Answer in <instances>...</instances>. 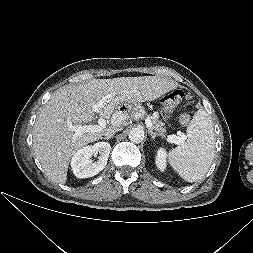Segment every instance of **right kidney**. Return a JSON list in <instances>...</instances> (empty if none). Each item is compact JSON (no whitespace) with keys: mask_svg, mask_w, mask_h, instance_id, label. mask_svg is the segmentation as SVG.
<instances>
[{"mask_svg":"<svg viewBox=\"0 0 253 253\" xmlns=\"http://www.w3.org/2000/svg\"><path fill=\"white\" fill-rule=\"evenodd\" d=\"M111 146L108 142H97L79 149L71 159V168L78 178H88L102 171L109 157ZM99 154L98 160L94 163L90 158Z\"/></svg>","mask_w":253,"mask_h":253,"instance_id":"right-kidney-1","label":"right kidney"}]
</instances>
